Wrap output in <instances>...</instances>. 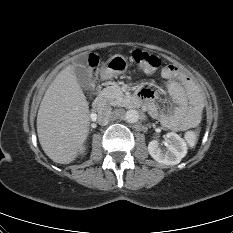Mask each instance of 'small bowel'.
<instances>
[{
    "mask_svg": "<svg viewBox=\"0 0 233 233\" xmlns=\"http://www.w3.org/2000/svg\"><path fill=\"white\" fill-rule=\"evenodd\" d=\"M162 76L167 80V89L175 108L170 112L160 111L154 104L155 94L143 89L140 96L149 111L171 130L182 131L193 127L201 118L203 98L189 74L174 64L165 66Z\"/></svg>",
    "mask_w": 233,
    "mask_h": 233,
    "instance_id": "small-bowel-1",
    "label": "small bowel"
}]
</instances>
